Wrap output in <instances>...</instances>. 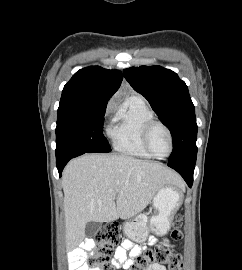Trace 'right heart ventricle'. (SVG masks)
I'll list each match as a JSON object with an SVG mask.
<instances>
[{
    "label": "right heart ventricle",
    "mask_w": 242,
    "mask_h": 270,
    "mask_svg": "<svg viewBox=\"0 0 242 270\" xmlns=\"http://www.w3.org/2000/svg\"><path fill=\"white\" fill-rule=\"evenodd\" d=\"M151 119H154L153 112L141 97L133 96L123 102L109 128L115 150L125 155L150 159L142 143V132Z\"/></svg>",
    "instance_id": "obj_1"
}]
</instances>
